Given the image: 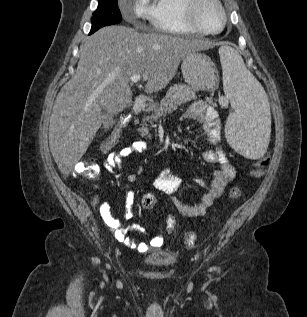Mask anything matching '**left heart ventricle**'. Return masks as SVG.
Instances as JSON below:
<instances>
[{
	"instance_id": "b2bd125f",
	"label": "left heart ventricle",
	"mask_w": 307,
	"mask_h": 317,
	"mask_svg": "<svg viewBox=\"0 0 307 317\" xmlns=\"http://www.w3.org/2000/svg\"><path fill=\"white\" fill-rule=\"evenodd\" d=\"M201 25L209 31L219 29L221 25V15L219 10L212 3L203 4L198 12Z\"/></svg>"
}]
</instances>
